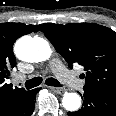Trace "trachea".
<instances>
[{"label":"trachea","mask_w":116,"mask_h":116,"mask_svg":"<svg viewBox=\"0 0 116 116\" xmlns=\"http://www.w3.org/2000/svg\"><path fill=\"white\" fill-rule=\"evenodd\" d=\"M42 82V78L41 77H35L31 80H27L25 82V87L26 89H31L34 87H37L41 84ZM45 84L48 86H55V87H61L62 85L59 83L58 80L54 79V78H47L45 81Z\"/></svg>","instance_id":"obj_1"}]
</instances>
